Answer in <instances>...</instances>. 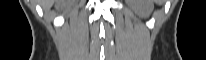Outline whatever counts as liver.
I'll use <instances>...</instances> for the list:
<instances>
[{
    "label": "liver",
    "mask_w": 206,
    "mask_h": 60,
    "mask_svg": "<svg viewBox=\"0 0 206 60\" xmlns=\"http://www.w3.org/2000/svg\"><path fill=\"white\" fill-rule=\"evenodd\" d=\"M55 3L57 8H65L68 4H71V0H44L42 1L43 6L46 4Z\"/></svg>",
    "instance_id": "1"
}]
</instances>
